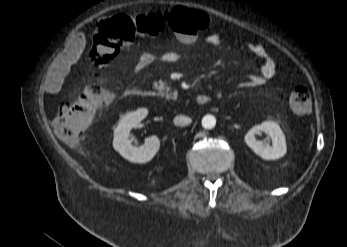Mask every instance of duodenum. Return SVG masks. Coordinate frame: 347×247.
<instances>
[{"instance_id": "obj_1", "label": "duodenum", "mask_w": 347, "mask_h": 247, "mask_svg": "<svg viewBox=\"0 0 347 247\" xmlns=\"http://www.w3.org/2000/svg\"><path fill=\"white\" fill-rule=\"evenodd\" d=\"M129 96H138V97H150L152 96V91L139 88H130L127 91ZM210 101V97L206 94H200L195 98V102L198 105H205Z\"/></svg>"}]
</instances>
